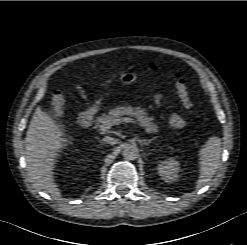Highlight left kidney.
I'll list each match as a JSON object with an SVG mask.
<instances>
[{
    "mask_svg": "<svg viewBox=\"0 0 247 245\" xmlns=\"http://www.w3.org/2000/svg\"><path fill=\"white\" fill-rule=\"evenodd\" d=\"M180 164L175 159L169 158L158 165V173L165 182H174L178 178Z\"/></svg>",
    "mask_w": 247,
    "mask_h": 245,
    "instance_id": "5707ae66",
    "label": "left kidney"
}]
</instances>
